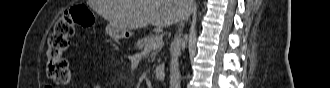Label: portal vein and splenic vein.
Returning a JSON list of instances; mask_svg holds the SVG:
<instances>
[{"mask_svg": "<svg viewBox=\"0 0 330 88\" xmlns=\"http://www.w3.org/2000/svg\"><path fill=\"white\" fill-rule=\"evenodd\" d=\"M162 35L161 34H158L157 36H156V41L154 42V43H151L150 45H149V47L148 48H146V50L148 49H156V48H158L161 44H162Z\"/></svg>", "mask_w": 330, "mask_h": 88, "instance_id": "18ae733b", "label": "portal vein and splenic vein"}]
</instances>
